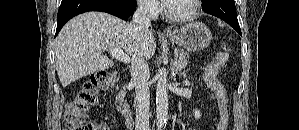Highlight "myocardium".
Wrapping results in <instances>:
<instances>
[{"mask_svg": "<svg viewBox=\"0 0 299 130\" xmlns=\"http://www.w3.org/2000/svg\"><path fill=\"white\" fill-rule=\"evenodd\" d=\"M191 1H192V4H191L190 9L187 12L182 13V14H173L170 11L169 4H166L165 9H164L166 17L175 22H185V21L191 20L198 14L199 9H200V4H201L200 0H191Z\"/></svg>", "mask_w": 299, "mask_h": 130, "instance_id": "myocardium-1", "label": "myocardium"}]
</instances>
